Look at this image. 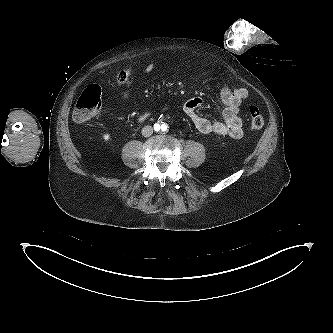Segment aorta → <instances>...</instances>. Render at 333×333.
Here are the masks:
<instances>
[{
	"mask_svg": "<svg viewBox=\"0 0 333 333\" xmlns=\"http://www.w3.org/2000/svg\"><path fill=\"white\" fill-rule=\"evenodd\" d=\"M155 130L158 132H166L167 131V126L165 124H156L155 125Z\"/></svg>",
	"mask_w": 333,
	"mask_h": 333,
	"instance_id": "1",
	"label": "aorta"
}]
</instances>
